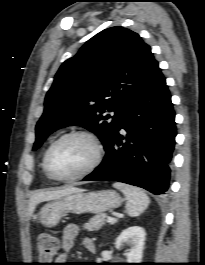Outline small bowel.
I'll return each mask as SVG.
<instances>
[{"mask_svg":"<svg viewBox=\"0 0 205 265\" xmlns=\"http://www.w3.org/2000/svg\"><path fill=\"white\" fill-rule=\"evenodd\" d=\"M78 234H79V228L74 224L67 225L64 228L61 239L62 253L57 257L56 264H64L63 262H65L67 259V252H69L74 246ZM82 243L85 249H87L89 252H90L89 250L90 247L95 248L90 238H84Z\"/></svg>","mask_w":205,"mask_h":265,"instance_id":"small-bowel-1","label":"small bowel"}]
</instances>
